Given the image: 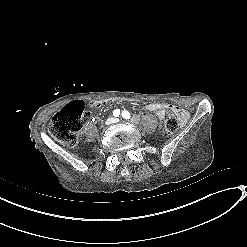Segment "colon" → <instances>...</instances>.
Masks as SVG:
<instances>
[{"instance_id":"obj_1","label":"colon","mask_w":247,"mask_h":247,"mask_svg":"<svg viewBox=\"0 0 247 247\" xmlns=\"http://www.w3.org/2000/svg\"><path fill=\"white\" fill-rule=\"evenodd\" d=\"M138 104L142 107H147V102L141 99H135L133 97L126 96L119 98H111L108 100L99 101L93 104L87 105V108L95 107L100 109L102 106L107 107L118 104ZM88 122V115L85 111V107L79 101H74L72 104L67 105L60 110L53 118L52 123L49 126V133L52 137L67 143L74 144L77 141L79 131ZM178 121L175 114L172 111H168L165 120V131L168 134H173L177 131Z\"/></svg>"}]
</instances>
